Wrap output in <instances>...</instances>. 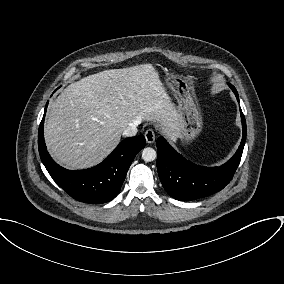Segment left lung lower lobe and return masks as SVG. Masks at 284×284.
Returning a JSON list of instances; mask_svg holds the SVG:
<instances>
[{
  "instance_id": "obj_1",
  "label": "left lung lower lobe",
  "mask_w": 284,
  "mask_h": 284,
  "mask_svg": "<svg viewBox=\"0 0 284 284\" xmlns=\"http://www.w3.org/2000/svg\"><path fill=\"white\" fill-rule=\"evenodd\" d=\"M235 96L239 102L238 93ZM241 112L243 137L234 156L220 167H202L178 154L163 138L157 139V169L164 189L173 198L191 201L222 190L232 179L241 160L246 141V121Z\"/></svg>"
}]
</instances>
